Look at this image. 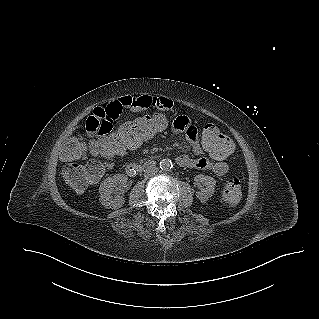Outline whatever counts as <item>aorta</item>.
Segmentation results:
<instances>
[{"label":"aorta","instance_id":"obj_1","mask_svg":"<svg viewBox=\"0 0 319 319\" xmlns=\"http://www.w3.org/2000/svg\"><path fill=\"white\" fill-rule=\"evenodd\" d=\"M173 163L170 159H162L160 161V169L164 172H168L172 169Z\"/></svg>","mask_w":319,"mask_h":319}]
</instances>
